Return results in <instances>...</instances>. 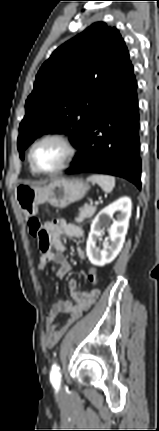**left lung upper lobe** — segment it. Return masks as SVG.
Listing matches in <instances>:
<instances>
[{
  "mask_svg": "<svg viewBox=\"0 0 159 431\" xmlns=\"http://www.w3.org/2000/svg\"><path fill=\"white\" fill-rule=\"evenodd\" d=\"M131 65L119 31L103 22L58 47L38 71L26 100L18 137L21 159L24 150L45 133L69 134L76 147Z\"/></svg>",
  "mask_w": 159,
  "mask_h": 431,
  "instance_id": "obj_1",
  "label": "left lung upper lobe"
}]
</instances>
